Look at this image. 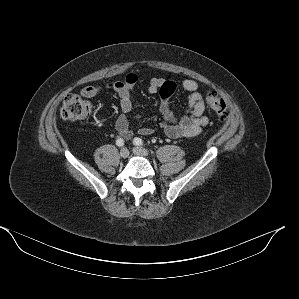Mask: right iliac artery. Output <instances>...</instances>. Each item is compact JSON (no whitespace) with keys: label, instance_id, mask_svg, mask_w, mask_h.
<instances>
[{"label":"right iliac artery","instance_id":"obj_1","mask_svg":"<svg viewBox=\"0 0 299 299\" xmlns=\"http://www.w3.org/2000/svg\"><path fill=\"white\" fill-rule=\"evenodd\" d=\"M116 145L119 146V147L123 146L124 145V140L122 138H118L116 140Z\"/></svg>","mask_w":299,"mask_h":299}]
</instances>
